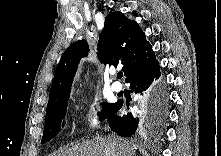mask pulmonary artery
Returning a JSON list of instances; mask_svg holds the SVG:
<instances>
[{"instance_id": "obj_1", "label": "pulmonary artery", "mask_w": 221, "mask_h": 156, "mask_svg": "<svg viewBox=\"0 0 221 156\" xmlns=\"http://www.w3.org/2000/svg\"><path fill=\"white\" fill-rule=\"evenodd\" d=\"M111 87L116 92L121 91L122 88H123L122 84L120 82H118V81L113 82Z\"/></svg>"}]
</instances>
